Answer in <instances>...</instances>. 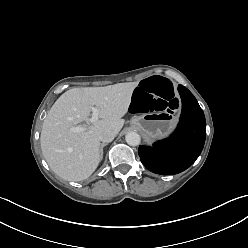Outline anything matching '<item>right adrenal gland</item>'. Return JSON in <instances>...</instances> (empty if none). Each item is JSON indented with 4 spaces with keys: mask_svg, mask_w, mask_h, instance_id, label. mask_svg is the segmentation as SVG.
I'll list each match as a JSON object with an SVG mask.
<instances>
[{
    "mask_svg": "<svg viewBox=\"0 0 248 248\" xmlns=\"http://www.w3.org/2000/svg\"><path fill=\"white\" fill-rule=\"evenodd\" d=\"M108 143H102L100 145V159L103 158V148L107 145Z\"/></svg>",
    "mask_w": 248,
    "mask_h": 248,
    "instance_id": "1",
    "label": "right adrenal gland"
}]
</instances>
